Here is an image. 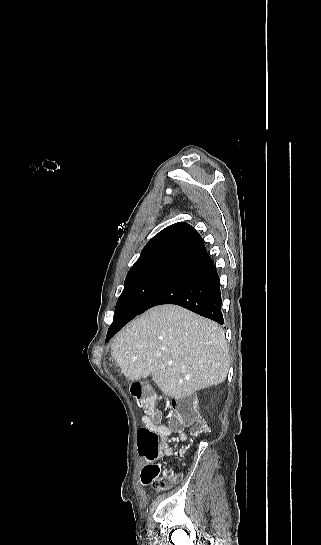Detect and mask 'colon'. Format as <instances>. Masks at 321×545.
<instances>
[{
  "label": "colon",
  "instance_id": "colon-1",
  "mask_svg": "<svg viewBox=\"0 0 321 545\" xmlns=\"http://www.w3.org/2000/svg\"><path fill=\"white\" fill-rule=\"evenodd\" d=\"M130 393L147 416L157 420L159 412L156 409L157 396L154 390L142 383L134 382L130 386ZM172 426L175 429L191 426L194 433L204 430L203 423L199 420L195 404L188 399H180L174 402ZM138 443L141 454L148 460H155L159 453L160 437L148 427H142L138 431ZM178 473L172 469L163 473L152 474L150 483L156 490L163 491L178 481Z\"/></svg>",
  "mask_w": 321,
  "mask_h": 545
}]
</instances>
